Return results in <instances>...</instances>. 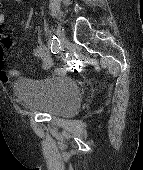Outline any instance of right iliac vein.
Wrapping results in <instances>:
<instances>
[{
    "label": "right iliac vein",
    "mask_w": 143,
    "mask_h": 170,
    "mask_svg": "<svg viewBox=\"0 0 143 170\" xmlns=\"http://www.w3.org/2000/svg\"><path fill=\"white\" fill-rule=\"evenodd\" d=\"M59 38L61 40V42L67 47L68 46V40L67 38L65 37V34L64 33H59Z\"/></svg>",
    "instance_id": "right-iliac-vein-1"
}]
</instances>
